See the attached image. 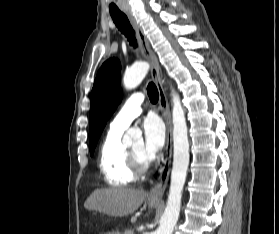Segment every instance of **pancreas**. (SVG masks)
Here are the masks:
<instances>
[{
	"instance_id": "obj_1",
	"label": "pancreas",
	"mask_w": 279,
	"mask_h": 234,
	"mask_svg": "<svg viewBox=\"0 0 279 234\" xmlns=\"http://www.w3.org/2000/svg\"><path fill=\"white\" fill-rule=\"evenodd\" d=\"M123 234H133V232L131 230H128V231H125Z\"/></svg>"
}]
</instances>
